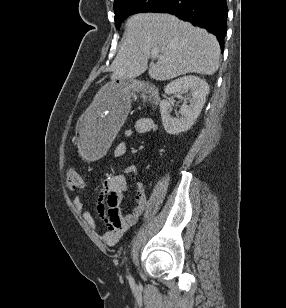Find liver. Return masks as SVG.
<instances>
[{
    "mask_svg": "<svg viewBox=\"0 0 286 308\" xmlns=\"http://www.w3.org/2000/svg\"><path fill=\"white\" fill-rule=\"evenodd\" d=\"M127 36L109 70L111 79H134L147 70L153 50L159 57L149 69L159 81L187 73L213 75L219 68L216 37L169 14L141 13L126 23Z\"/></svg>",
    "mask_w": 286,
    "mask_h": 308,
    "instance_id": "1",
    "label": "liver"
}]
</instances>
